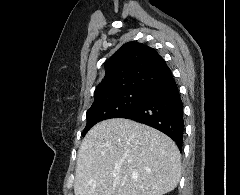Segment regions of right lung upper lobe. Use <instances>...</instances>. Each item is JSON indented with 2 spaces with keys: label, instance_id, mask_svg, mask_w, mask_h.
I'll return each instance as SVG.
<instances>
[{
  "label": "right lung upper lobe",
  "instance_id": "cb5924a9",
  "mask_svg": "<svg viewBox=\"0 0 240 195\" xmlns=\"http://www.w3.org/2000/svg\"><path fill=\"white\" fill-rule=\"evenodd\" d=\"M105 69V77L95 90V99L120 91L147 92L172 77L156 50L137 42L124 44L105 63Z\"/></svg>",
  "mask_w": 240,
  "mask_h": 195
}]
</instances>
